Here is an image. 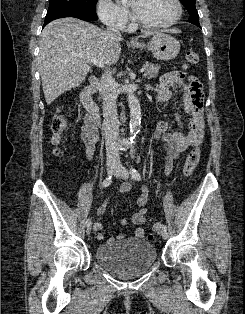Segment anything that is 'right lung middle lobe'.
I'll list each match as a JSON object with an SVG mask.
<instances>
[{
    "mask_svg": "<svg viewBox=\"0 0 245 314\" xmlns=\"http://www.w3.org/2000/svg\"><path fill=\"white\" fill-rule=\"evenodd\" d=\"M97 0H50L48 11L71 9L96 13Z\"/></svg>",
    "mask_w": 245,
    "mask_h": 314,
    "instance_id": "obj_1",
    "label": "right lung middle lobe"
}]
</instances>
